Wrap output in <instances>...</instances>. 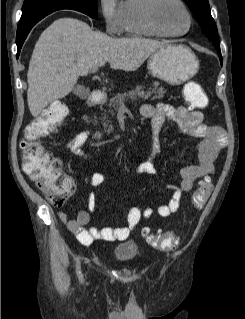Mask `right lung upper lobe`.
I'll use <instances>...</instances> for the list:
<instances>
[{
  "label": "right lung upper lobe",
  "mask_w": 245,
  "mask_h": 319,
  "mask_svg": "<svg viewBox=\"0 0 245 319\" xmlns=\"http://www.w3.org/2000/svg\"><path fill=\"white\" fill-rule=\"evenodd\" d=\"M42 17H44V15L37 16V17H35L34 19H32L31 21H35V20L40 19V18H42Z\"/></svg>",
  "instance_id": "cb5924a9"
}]
</instances>
